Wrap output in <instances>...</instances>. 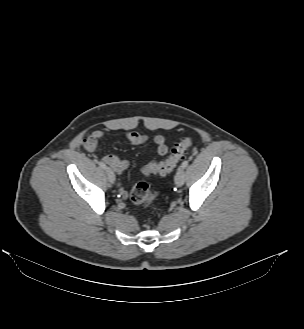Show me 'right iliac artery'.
Listing matches in <instances>:
<instances>
[{
	"instance_id": "right-iliac-artery-1",
	"label": "right iliac artery",
	"mask_w": 304,
	"mask_h": 329,
	"mask_svg": "<svg viewBox=\"0 0 304 329\" xmlns=\"http://www.w3.org/2000/svg\"><path fill=\"white\" fill-rule=\"evenodd\" d=\"M99 165H100V167L103 168V169H106V168H107V166H106L103 162H100Z\"/></svg>"
}]
</instances>
